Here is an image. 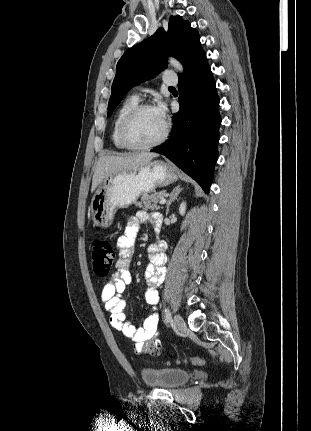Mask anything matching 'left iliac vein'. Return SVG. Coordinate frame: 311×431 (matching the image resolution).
Listing matches in <instances>:
<instances>
[{"label":"left iliac vein","mask_w":311,"mask_h":431,"mask_svg":"<svg viewBox=\"0 0 311 431\" xmlns=\"http://www.w3.org/2000/svg\"><path fill=\"white\" fill-rule=\"evenodd\" d=\"M173 322L177 330L184 331L186 329V323L180 315L176 314L173 318Z\"/></svg>","instance_id":"left-iliac-vein-1"}]
</instances>
